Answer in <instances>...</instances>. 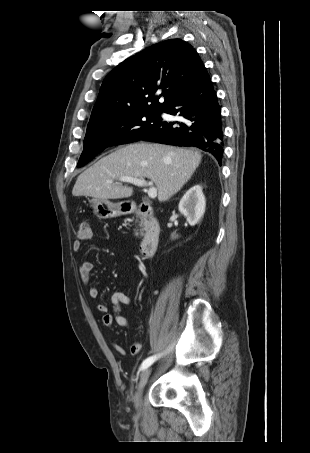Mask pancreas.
I'll return each instance as SVG.
<instances>
[{
  "label": "pancreas",
  "instance_id": "pancreas-1",
  "mask_svg": "<svg viewBox=\"0 0 310 453\" xmlns=\"http://www.w3.org/2000/svg\"><path fill=\"white\" fill-rule=\"evenodd\" d=\"M140 231H141V234H142V229ZM138 235H139V233H138V230H137V231H135V236H138Z\"/></svg>",
  "mask_w": 310,
  "mask_h": 453
}]
</instances>
